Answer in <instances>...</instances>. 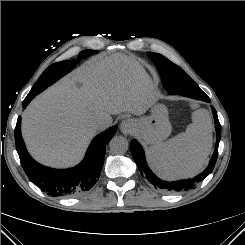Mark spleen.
Instances as JSON below:
<instances>
[{"mask_svg": "<svg viewBox=\"0 0 245 245\" xmlns=\"http://www.w3.org/2000/svg\"><path fill=\"white\" fill-rule=\"evenodd\" d=\"M192 120L185 132L147 149L149 164L161 178L190 177L206 163L212 146L210 115L199 109L193 112Z\"/></svg>", "mask_w": 245, "mask_h": 245, "instance_id": "spleen-1", "label": "spleen"}]
</instances>
